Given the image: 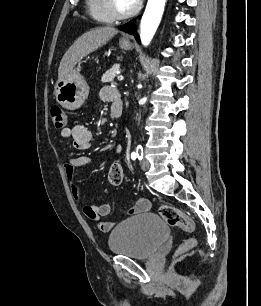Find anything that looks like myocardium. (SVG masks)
<instances>
[{
    "instance_id": "myocardium-1",
    "label": "myocardium",
    "mask_w": 261,
    "mask_h": 306,
    "mask_svg": "<svg viewBox=\"0 0 261 306\" xmlns=\"http://www.w3.org/2000/svg\"><path fill=\"white\" fill-rule=\"evenodd\" d=\"M105 2L108 12L114 19H126L132 17L139 11L141 7V2L137 1L132 9L126 12H122L117 9L114 0H105Z\"/></svg>"
}]
</instances>
